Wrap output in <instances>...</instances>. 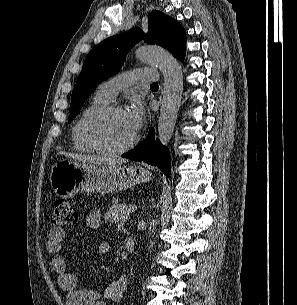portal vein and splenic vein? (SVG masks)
Wrapping results in <instances>:
<instances>
[{
  "label": "portal vein and splenic vein",
  "mask_w": 297,
  "mask_h": 305,
  "mask_svg": "<svg viewBox=\"0 0 297 305\" xmlns=\"http://www.w3.org/2000/svg\"><path fill=\"white\" fill-rule=\"evenodd\" d=\"M136 209V206L135 205H133V206H128V212L130 213V212H134V210Z\"/></svg>",
  "instance_id": "portal-vein-and-splenic-vein-1"
}]
</instances>
